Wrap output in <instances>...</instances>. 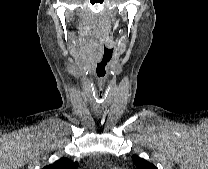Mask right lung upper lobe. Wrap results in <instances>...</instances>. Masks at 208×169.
<instances>
[{"instance_id":"right-lung-upper-lobe-1","label":"right lung upper lobe","mask_w":208,"mask_h":169,"mask_svg":"<svg viewBox=\"0 0 208 169\" xmlns=\"http://www.w3.org/2000/svg\"><path fill=\"white\" fill-rule=\"evenodd\" d=\"M78 163L72 162L68 158H61L53 164L45 166L43 169H77Z\"/></svg>"}]
</instances>
